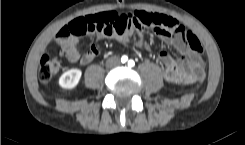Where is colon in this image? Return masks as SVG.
Returning <instances> with one entry per match:
<instances>
[{
    "instance_id": "1",
    "label": "colon",
    "mask_w": 245,
    "mask_h": 145,
    "mask_svg": "<svg viewBox=\"0 0 245 145\" xmlns=\"http://www.w3.org/2000/svg\"><path fill=\"white\" fill-rule=\"evenodd\" d=\"M80 18V17H79ZM75 18L64 25L58 32L55 42L42 56L39 66V78L42 81H49L55 77L61 69V61L55 56L57 50L62 52V42L70 37H80L89 30L96 28L98 31H105L108 28L117 33H126L133 30H140L142 27H166L169 31L185 38L190 48L194 51L201 50V43L197 37L190 32L179 21L162 16L158 13H141L139 20H134L128 14H121L117 19L107 22L103 16L89 17L84 23Z\"/></svg>"
}]
</instances>
